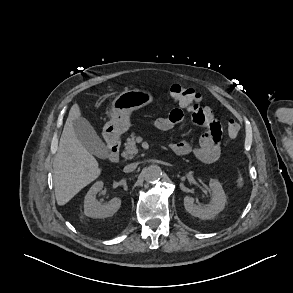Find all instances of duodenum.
Instances as JSON below:
<instances>
[{"mask_svg":"<svg viewBox=\"0 0 293 293\" xmlns=\"http://www.w3.org/2000/svg\"><path fill=\"white\" fill-rule=\"evenodd\" d=\"M107 158L113 163L120 160V141L114 136H107Z\"/></svg>","mask_w":293,"mask_h":293,"instance_id":"obj_1","label":"duodenum"}]
</instances>
